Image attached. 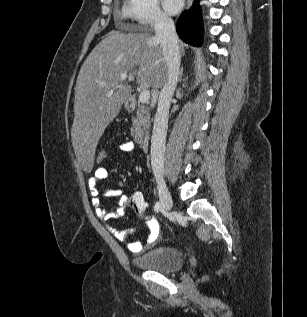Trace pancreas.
<instances>
[{
	"mask_svg": "<svg viewBox=\"0 0 307 317\" xmlns=\"http://www.w3.org/2000/svg\"><path fill=\"white\" fill-rule=\"evenodd\" d=\"M150 110L144 105H138L136 115L132 118L131 135L134 142L142 143L150 128Z\"/></svg>",
	"mask_w": 307,
	"mask_h": 317,
	"instance_id": "1",
	"label": "pancreas"
}]
</instances>
